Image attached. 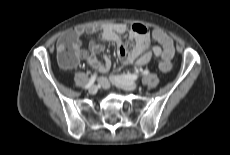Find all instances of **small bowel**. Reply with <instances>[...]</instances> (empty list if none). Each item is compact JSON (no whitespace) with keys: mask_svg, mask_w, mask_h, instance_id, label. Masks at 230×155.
Instances as JSON below:
<instances>
[{"mask_svg":"<svg viewBox=\"0 0 230 155\" xmlns=\"http://www.w3.org/2000/svg\"><path fill=\"white\" fill-rule=\"evenodd\" d=\"M126 31L123 24L115 26H98L91 25L87 27H78L68 32L59 39L58 45L66 43L71 39L74 40V48L78 49L83 35L99 34L100 37L108 42H112L117 47V54L123 64L136 63L139 66L149 63L152 57H161L168 48L174 51L172 39L160 29H155L152 32L153 38L159 45H150V33L143 24H134L130 30V39L133 41L132 49H128L122 38V34ZM89 55L87 63L89 66L99 72H107L111 68V61L105 57L104 60L98 58L100 45L96 40H90L88 44ZM100 84L103 88L109 87V82L105 78L100 79Z\"/></svg>","mask_w":230,"mask_h":155,"instance_id":"c3829d8e","label":"small bowel"}]
</instances>
